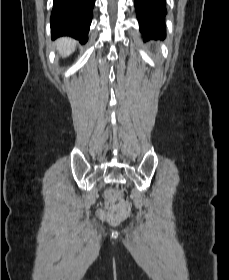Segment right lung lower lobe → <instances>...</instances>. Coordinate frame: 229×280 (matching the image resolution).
Masks as SVG:
<instances>
[{"label":"right lung lower lobe","mask_w":229,"mask_h":280,"mask_svg":"<svg viewBox=\"0 0 229 280\" xmlns=\"http://www.w3.org/2000/svg\"><path fill=\"white\" fill-rule=\"evenodd\" d=\"M95 0H54L50 17L52 38L71 36L86 43Z\"/></svg>","instance_id":"98d812e1"}]
</instances>
